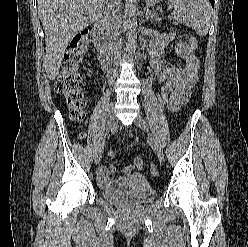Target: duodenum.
Instances as JSON below:
<instances>
[{
  "instance_id": "1",
  "label": "duodenum",
  "mask_w": 248,
  "mask_h": 247,
  "mask_svg": "<svg viewBox=\"0 0 248 247\" xmlns=\"http://www.w3.org/2000/svg\"><path fill=\"white\" fill-rule=\"evenodd\" d=\"M105 24L102 20L94 23L92 27V36L95 46L98 50L99 60L104 70H109L111 67V53L107 46V41L104 33Z\"/></svg>"
}]
</instances>
